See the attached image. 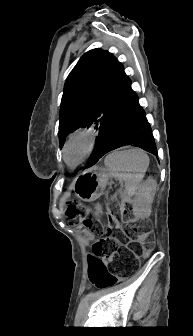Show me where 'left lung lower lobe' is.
I'll return each instance as SVG.
<instances>
[{
	"label": "left lung lower lobe",
	"mask_w": 193,
	"mask_h": 336,
	"mask_svg": "<svg viewBox=\"0 0 193 336\" xmlns=\"http://www.w3.org/2000/svg\"><path fill=\"white\" fill-rule=\"evenodd\" d=\"M126 145L140 147L157 157L150 125L127 76L114 106L100 124L97 144L87 167L108 152Z\"/></svg>",
	"instance_id": "0a47b994"
}]
</instances>
